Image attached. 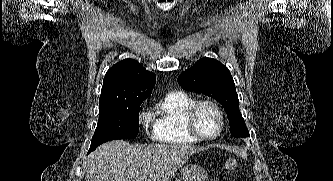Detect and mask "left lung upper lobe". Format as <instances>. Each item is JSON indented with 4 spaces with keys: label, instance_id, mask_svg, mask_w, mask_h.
I'll list each match as a JSON object with an SVG mask.
<instances>
[{
    "label": "left lung upper lobe",
    "instance_id": "1",
    "mask_svg": "<svg viewBox=\"0 0 333 181\" xmlns=\"http://www.w3.org/2000/svg\"><path fill=\"white\" fill-rule=\"evenodd\" d=\"M179 85L214 98L223 105L234 137H249L244 119L239 111V100L229 69L221 62L202 58L178 77Z\"/></svg>",
    "mask_w": 333,
    "mask_h": 181
}]
</instances>
